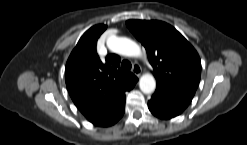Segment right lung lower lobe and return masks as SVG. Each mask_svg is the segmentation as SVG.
I'll return each mask as SVG.
<instances>
[{"mask_svg":"<svg viewBox=\"0 0 247 145\" xmlns=\"http://www.w3.org/2000/svg\"><path fill=\"white\" fill-rule=\"evenodd\" d=\"M123 115V114H122ZM122 115L118 118V119H116L115 121H113L111 124H109V125H107V126H110V125H113L114 123H116L121 117H122Z\"/></svg>","mask_w":247,"mask_h":145,"instance_id":"obj_1","label":"right lung lower lobe"}]
</instances>
